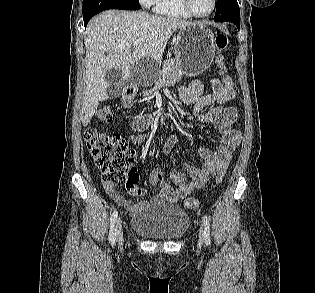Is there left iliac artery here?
<instances>
[{"mask_svg": "<svg viewBox=\"0 0 315 293\" xmlns=\"http://www.w3.org/2000/svg\"><path fill=\"white\" fill-rule=\"evenodd\" d=\"M203 225H204V241H205L206 245H210V242H211L210 221L206 215L203 216Z\"/></svg>", "mask_w": 315, "mask_h": 293, "instance_id": "left-iliac-artery-1", "label": "left iliac artery"}]
</instances>
